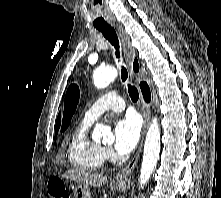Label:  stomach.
Segmentation results:
<instances>
[{
  "instance_id": "stomach-1",
  "label": "stomach",
  "mask_w": 221,
  "mask_h": 198,
  "mask_svg": "<svg viewBox=\"0 0 221 198\" xmlns=\"http://www.w3.org/2000/svg\"><path fill=\"white\" fill-rule=\"evenodd\" d=\"M125 186H126L125 182L117 183V184L112 183L111 189L119 191V190H122ZM74 198H91L90 188L83 184H78L74 188Z\"/></svg>"
}]
</instances>
